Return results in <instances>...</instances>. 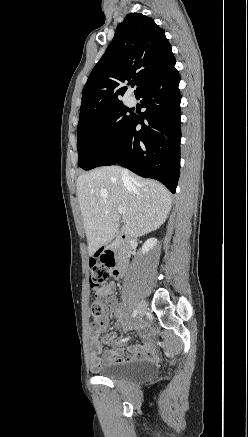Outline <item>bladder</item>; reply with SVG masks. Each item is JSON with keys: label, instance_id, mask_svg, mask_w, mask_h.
<instances>
[{"label": "bladder", "instance_id": "31cf9c89", "mask_svg": "<svg viewBox=\"0 0 248 437\" xmlns=\"http://www.w3.org/2000/svg\"><path fill=\"white\" fill-rule=\"evenodd\" d=\"M153 373V365L147 361L115 363L104 366L100 375L113 381H143Z\"/></svg>", "mask_w": 248, "mask_h": 437}]
</instances>
